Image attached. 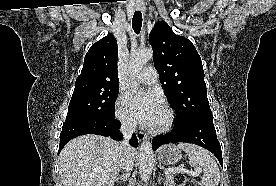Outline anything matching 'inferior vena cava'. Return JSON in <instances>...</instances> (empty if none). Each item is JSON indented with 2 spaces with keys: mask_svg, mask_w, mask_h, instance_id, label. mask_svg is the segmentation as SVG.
Returning <instances> with one entry per match:
<instances>
[{
  "mask_svg": "<svg viewBox=\"0 0 276 186\" xmlns=\"http://www.w3.org/2000/svg\"><path fill=\"white\" fill-rule=\"evenodd\" d=\"M135 130L136 123L133 121H123L120 127V132L124 137V141L119 143L122 151V169L126 170L127 173L133 168V158L131 157L132 148L129 145V140Z\"/></svg>",
  "mask_w": 276,
  "mask_h": 186,
  "instance_id": "602c4592",
  "label": "inferior vena cava"
}]
</instances>
